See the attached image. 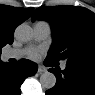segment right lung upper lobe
<instances>
[{"instance_id": "1", "label": "right lung upper lobe", "mask_w": 95, "mask_h": 95, "mask_svg": "<svg viewBox=\"0 0 95 95\" xmlns=\"http://www.w3.org/2000/svg\"><path fill=\"white\" fill-rule=\"evenodd\" d=\"M32 11L33 8L0 5V54L2 47L13 43L16 25L27 20Z\"/></svg>"}]
</instances>
